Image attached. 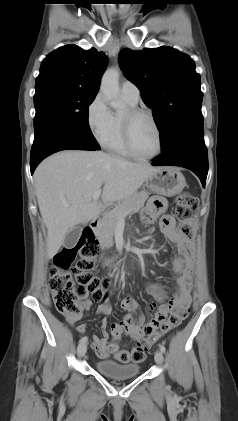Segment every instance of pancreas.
Returning a JSON list of instances; mask_svg holds the SVG:
<instances>
[{
    "label": "pancreas",
    "mask_w": 238,
    "mask_h": 421,
    "mask_svg": "<svg viewBox=\"0 0 238 421\" xmlns=\"http://www.w3.org/2000/svg\"><path fill=\"white\" fill-rule=\"evenodd\" d=\"M149 197V192L143 190L118 202L114 209L107 212L101 224L95 231L101 247L110 248L113 246V236L118 222L128 214L138 212ZM128 213V214H127Z\"/></svg>",
    "instance_id": "cf45deb5"
}]
</instances>
